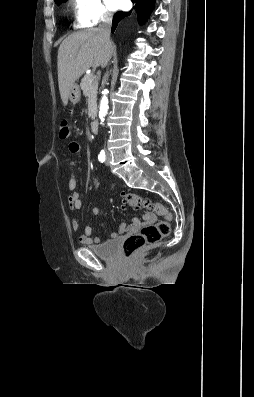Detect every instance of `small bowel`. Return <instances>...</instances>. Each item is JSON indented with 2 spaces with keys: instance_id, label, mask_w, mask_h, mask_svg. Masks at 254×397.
I'll use <instances>...</instances> for the list:
<instances>
[{
  "instance_id": "c3829d8e",
  "label": "small bowel",
  "mask_w": 254,
  "mask_h": 397,
  "mask_svg": "<svg viewBox=\"0 0 254 397\" xmlns=\"http://www.w3.org/2000/svg\"><path fill=\"white\" fill-rule=\"evenodd\" d=\"M69 151L72 154H78L81 150L80 144L76 141H72L69 143ZM72 166H74V163H71ZM68 188L70 191H72V193L69 195L68 197V204L71 210L76 211L81 209L82 207V200L81 197L79 195L78 192H76V188H77V179L72 176L69 181H68ZM92 214L94 216H99L100 215V210L97 207L92 208ZM146 219L150 220L151 216L147 215ZM139 221L137 219L133 220V226L138 225ZM71 227L74 231H77L80 227L79 222L76 218H73L71 221ZM126 230V226L125 224H121L119 231L118 232H114L111 234L112 238H117L121 233H123ZM78 240L80 243L82 244H94V243H98L100 241L99 238L97 237H92V227L87 225L84 228V232L83 234H81L78 237Z\"/></svg>"
}]
</instances>
